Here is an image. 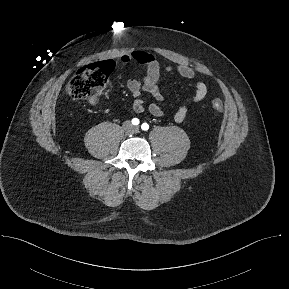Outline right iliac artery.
<instances>
[{
  "instance_id": "1",
  "label": "right iliac artery",
  "mask_w": 289,
  "mask_h": 289,
  "mask_svg": "<svg viewBox=\"0 0 289 289\" xmlns=\"http://www.w3.org/2000/svg\"><path fill=\"white\" fill-rule=\"evenodd\" d=\"M140 122H139V119L138 118H133L132 119V124L133 125H138Z\"/></svg>"
}]
</instances>
